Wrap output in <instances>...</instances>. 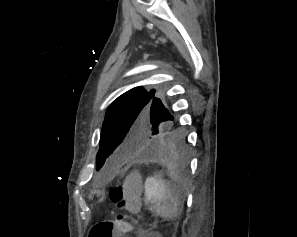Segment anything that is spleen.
<instances>
[{
	"label": "spleen",
	"instance_id": "3e777b00",
	"mask_svg": "<svg viewBox=\"0 0 297 237\" xmlns=\"http://www.w3.org/2000/svg\"><path fill=\"white\" fill-rule=\"evenodd\" d=\"M144 188L145 197L152 203L158 216L169 221L175 220L181 214L178 194L160 175L147 178Z\"/></svg>",
	"mask_w": 297,
	"mask_h": 237
}]
</instances>
